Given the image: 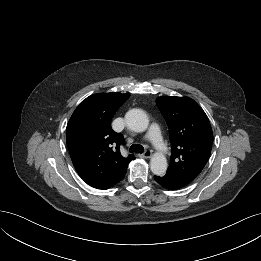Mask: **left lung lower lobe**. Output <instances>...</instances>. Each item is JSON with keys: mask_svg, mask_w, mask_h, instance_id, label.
Listing matches in <instances>:
<instances>
[{"mask_svg": "<svg viewBox=\"0 0 261 261\" xmlns=\"http://www.w3.org/2000/svg\"><path fill=\"white\" fill-rule=\"evenodd\" d=\"M154 179L161 186L169 190H177L187 185L183 181L167 174L164 176H154Z\"/></svg>", "mask_w": 261, "mask_h": 261, "instance_id": "1", "label": "left lung lower lobe"}]
</instances>
